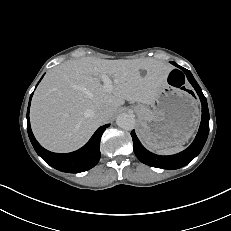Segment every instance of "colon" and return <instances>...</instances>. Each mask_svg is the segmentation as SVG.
Here are the masks:
<instances>
[{"mask_svg": "<svg viewBox=\"0 0 231 231\" xmlns=\"http://www.w3.org/2000/svg\"><path fill=\"white\" fill-rule=\"evenodd\" d=\"M172 79L176 81L178 84L182 83V79L176 74L172 75Z\"/></svg>", "mask_w": 231, "mask_h": 231, "instance_id": "5ec220e1", "label": "colon"}]
</instances>
